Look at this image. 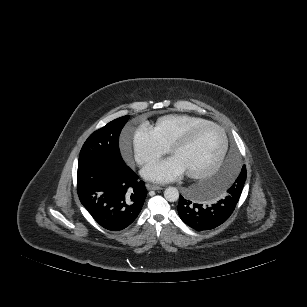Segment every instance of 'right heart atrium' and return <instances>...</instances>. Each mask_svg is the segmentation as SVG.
Masks as SVG:
<instances>
[{"mask_svg": "<svg viewBox=\"0 0 307 307\" xmlns=\"http://www.w3.org/2000/svg\"><path fill=\"white\" fill-rule=\"evenodd\" d=\"M124 156H128L130 150L140 165L150 164L158 160L168 151L165 145L150 127L142 126L126 133L120 143Z\"/></svg>", "mask_w": 307, "mask_h": 307, "instance_id": "d8ad5b80", "label": "right heart atrium"}]
</instances>
